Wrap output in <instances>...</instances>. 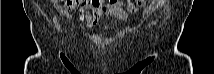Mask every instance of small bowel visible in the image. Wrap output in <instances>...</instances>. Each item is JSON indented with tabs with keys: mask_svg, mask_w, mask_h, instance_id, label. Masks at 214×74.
Segmentation results:
<instances>
[{
	"mask_svg": "<svg viewBox=\"0 0 214 74\" xmlns=\"http://www.w3.org/2000/svg\"><path fill=\"white\" fill-rule=\"evenodd\" d=\"M125 6L131 13L138 11V6L130 1ZM125 6L120 2H105L101 0L69 2V8H80L79 19L81 22H85L88 28L95 26L105 14L126 18L128 13Z\"/></svg>",
	"mask_w": 214,
	"mask_h": 74,
	"instance_id": "obj_1",
	"label": "small bowel"
}]
</instances>
